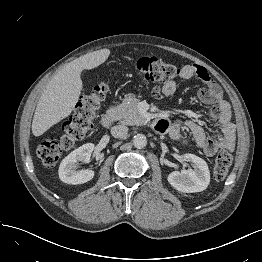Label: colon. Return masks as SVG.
Returning <instances> with one entry per match:
<instances>
[{"mask_svg":"<svg viewBox=\"0 0 262 262\" xmlns=\"http://www.w3.org/2000/svg\"><path fill=\"white\" fill-rule=\"evenodd\" d=\"M135 70L144 82L153 84L152 95L155 98L162 97V87L180 75L178 66L158 57L139 59ZM105 92L106 86L103 84L93 88L81 97L74 115L63 124L59 136L43 137L37 141V155L46 166L56 164L66 150L93 130L96 112ZM231 163L232 155L228 151L219 152L213 164L214 177L218 180L225 178Z\"/></svg>","mask_w":262,"mask_h":262,"instance_id":"obj_1","label":"colon"}]
</instances>
